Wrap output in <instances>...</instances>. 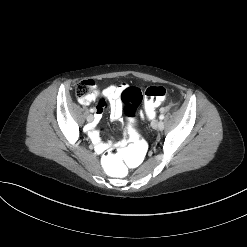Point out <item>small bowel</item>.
I'll return each mask as SVG.
<instances>
[{
	"instance_id": "1",
	"label": "small bowel",
	"mask_w": 247,
	"mask_h": 247,
	"mask_svg": "<svg viewBox=\"0 0 247 247\" xmlns=\"http://www.w3.org/2000/svg\"><path fill=\"white\" fill-rule=\"evenodd\" d=\"M92 83V92L83 99H80V102L83 105H89L90 103L94 102L97 97L99 96L100 92L97 89L94 82ZM126 89L125 84L120 85H110L102 90L101 95L103 100L99 103L96 108V121L94 127L91 129L90 135L95 145V150L98 153H103L110 147H112V142L103 143L100 139L99 131L95 128L96 124L100 121L102 117V113L104 108L108 105L110 108L111 117L113 119H118L122 114V103H121V95L123 91ZM144 117L143 114H141ZM127 140H122L119 144L121 146L126 145Z\"/></svg>"
}]
</instances>
